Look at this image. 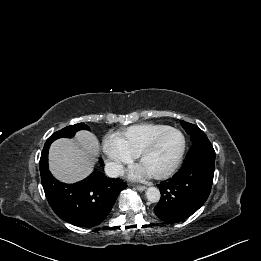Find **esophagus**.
Instances as JSON below:
<instances>
[{
    "label": "esophagus",
    "instance_id": "1",
    "mask_svg": "<svg viewBox=\"0 0 261 261\" xmlns=\"http://www.w3.org/2000/svg\"><path fill=\"white\" fill-rule=\"evenodd\" d=\"M135 189L142 192L146 189V186L137 185L135 186Z\"/></svg>",
    "mask_w": 261,
    "mask_h": 261
}]
</instances>
